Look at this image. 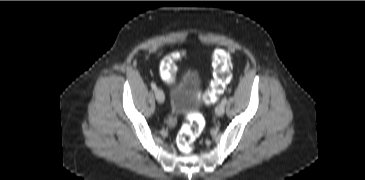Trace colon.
<instances>
[{"mask_svg": "<svg viewBox=\"0 0 365 180\" xmlns=\"http://www.w3.org/2000/svg\"><path fill=\"white\" fill-rule=\"evenodd\" d=\"M180 58V53L175 52L167 57L161 67V76L164 81L174 80V62ZM213 65V79L203 95L207 104H212L224 91L231 76V60L229 55L222 49H215L211 56ZM205 121L199 114H192L187 118L179 131L177 145L181 152L188 154L193 149V143L203 131Z\"/></svg>", "mask_w": 365, "mask_h": 180, "instance_id": "colon-1", "label": "colon"}]
</instances>
